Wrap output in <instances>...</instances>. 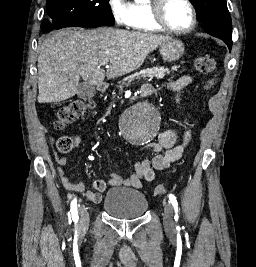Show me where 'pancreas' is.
Wrapping results in <instances>:
<instances>
[{"label":"pancreas","instance_id":"pancreas-1","mask_svg":"<svg viewBox=\"0 0 256 267\" xmlns=\"http://www.w3.org/2000/svg\"><path fill=\"white\" fill-rule=\"evenodd\" d=\"M177 68L178 66H173L171 70H174V72H176ZM166 74H170L168 68H148L144 76H142V74H134V76H130V78H126V80H123L122 88L126 86V82H131V80H137V78H163V76H166Z\"/></svg>","mask_w":256,"mask_h":267}]
</instances>
